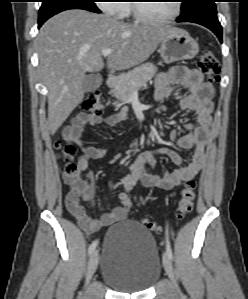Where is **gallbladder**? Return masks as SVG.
<instances>
[{
	"label": "gallbladder",
	"instance_id": "1",
	"mask_svg": "<svg viewBox=\"0 0 248 299\" xmlns=\"http://www.w3.org/2000/svg\"><path fill=\"white\" fill-rule=\"evenodd\" d=\"M103 78L100 74H89L86 75L83 86L86 92L95 91L102 84Z\"/></svg>",
	"mask_w": 248,
	"mask_h": 299
}]
</instances>
